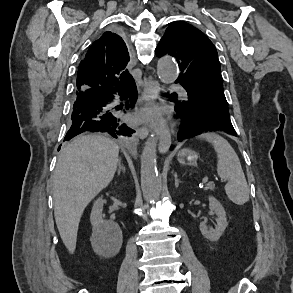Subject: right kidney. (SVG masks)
Here are the masks:
<instances>
[{
  "mask_svg": "<svg viewBox=\"0 0 293 293\" xmlns=\"http://www.w3.org/2000/svg\"><path fill=\"white\" fill-rule=\"evenodd\" d=\"M102 210L103 199L101 197L94 202L90 215L93 233L101 239L102 247H112L118 251L122 244V232L116 223L103 220Z\"/></svg>",
  "mask_w": 293,
  "mask_h": 293,
  "instance_id": "ca27d5eb",
  "label": "right kidney"
}]
</instances>
